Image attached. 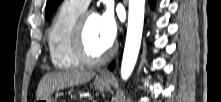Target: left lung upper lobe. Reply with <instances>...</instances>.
I'll use <instances>...</instances> for the list:
<instances>
[{
    "label": "left lung upper lobe",
    "mask_w": 221,
    "mask_h": 102,
    "mask_svg": "<svg viewBox=\"0 0 221 102\" xmlns=\"http://www.w3.org/2000/svg\"><path fill=\"white\" fill-rule=\"evenodd\" d=\"M62 0H47L45 16L49 19Z\"/></svg>",
    "instance_id": "5c2ea615"
}]
</instances>
